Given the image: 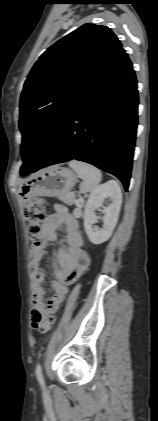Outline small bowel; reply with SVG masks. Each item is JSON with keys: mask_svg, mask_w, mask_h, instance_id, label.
<instances>
[{"mask_svg": "<svg viewBox=\"0 0 158 421\" xmlns=\"http://www.w3.org/2000/svg\"><path fill=\"white\" fill-rule=\"evenodd\" d=\"M64 226L66 231V245L57 236V230ZM49 242L58 244L53 258L54 280L53 297L48 300L44 288L45 274L40 263L45 255V248ZM90 263L89 255L83 249V239L79 232L77 218L69 211L58 208L50 215L42 226L38 244L30 252V269L32 277V320L36 326L47 311H55L68 293L69 285L73 283Z\"/></svg>", "mask_w": 158, "mask_h": 421, "instance_id": "obj_1", "label": "small bowel"}]
</instances>
